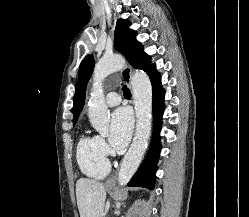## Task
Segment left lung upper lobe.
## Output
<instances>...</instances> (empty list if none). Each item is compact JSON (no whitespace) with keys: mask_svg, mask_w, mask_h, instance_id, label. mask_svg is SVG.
Instances as JSON below:
<instances>
[{"mask_svg":"<svg viewBox=\"0 0 249 217\" xmlns=\"http://www.w3.org/2000/svg\"><path fill=\"white\" fill-rule=\"evenodd\" d=\"M130 22L128 20L119 19L115 28V48L120 51L129 61V63L137 69H142L146 73L155 65L151 64V57L143 51L142 44L136 40L137 33L129 29ZM95 65L93 55H87L80 64L78 83L79 91L84 104L85 92L88 80L90 79Z\"/></svg>","mask_w":249,"mask_h":217,"instance_id":"1","label":"left lung upper lobe"}]
</instances>
